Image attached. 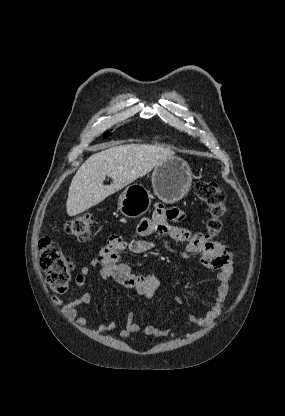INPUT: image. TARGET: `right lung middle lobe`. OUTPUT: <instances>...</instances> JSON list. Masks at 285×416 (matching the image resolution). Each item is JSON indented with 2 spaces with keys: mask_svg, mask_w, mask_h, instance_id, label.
<instances>
[{
  "mask_svg": "<svg viewBox=\"0 0 285 416\" xmlns=\"http://www.w3.org/2000/svg\"><path fill=\"white\" fill-rule=\"evenodd\" d=\"M111 135V133L110 132H106V133H104V138H107L108 136H110Z\"/></svg>",
  "mask_w": 285,
  "mask_h": 416,
  "instance_id": "right-lung-middle-lobe-1",
  "label": "right lung middle lobe"
}]
</instances>
